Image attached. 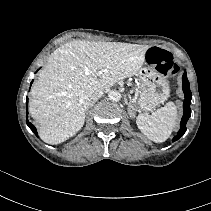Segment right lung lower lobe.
<instances>
[{"label": "right lung lower lobe", "mask_w": 211, "mask_h": 211, "mask_svg": "<svg viewBox=\"0 0 211 211\" xmlns=\"http://www.w3.org/2000/svg\"><path fill=\"white\" fill-rule=\"evenodd\" d=\"M33 82V81H32ZM31 82V83H32ZM26 103H28V98H26ZM27 113H28V111H27ZM27 125L29 126V128L34 132V134L37 136V130H36V128L34 127V125L33 124H31L28 120H27Z\"/></svg>", "instance_id": "1"}]
</instances>
